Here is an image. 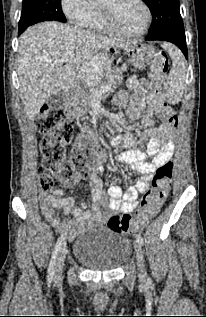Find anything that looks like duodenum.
<instances>
[{"mask_svg": "<svg viewBox=\"0 0 206 317\" xmlns=\"http://www.w3.org/2000/svg\"><path fill=\"white\" fill-rule=\"evenodd\" d=\"M64 105H65L64 109H65V111H68L69 115H76L77 114L75 100H65Z\"/></svg>", "mask_w": 206, "mask_h": 317, "instance_id": "410a0bca", "label": "duodenum"}]
</instances>
